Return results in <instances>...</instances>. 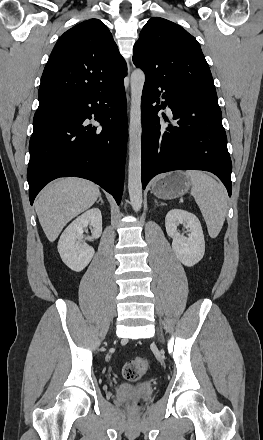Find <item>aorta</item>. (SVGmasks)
<instances>
[{"label":"aorta","instance_id":"aorta-1","mask_svg":"<svg viewBox=\"0 0 263 440\" xmlns=\"http://www.w3.org/2000/svg\"><path fill=\"white\" fill-rule=\"evenodd\" d=\"M145 74L136 69L131 74V107L129 124L128 191L131 206L139 211L142 206L141 183V98Z\"/></svg>","mask_w":263,"mask_h":440}]
</instances>
